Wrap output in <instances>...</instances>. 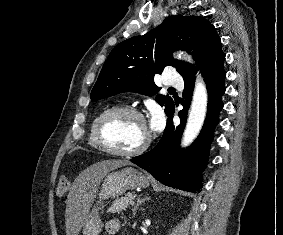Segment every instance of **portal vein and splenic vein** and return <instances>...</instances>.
<instances>
[{"label":"portal vein and splenic vein","instance_id":"obj_1","mask_svg":"<svg viewBox=\"0 0 283 235\" xmlns=\"http://www.w3.org/2000/svg\"><path fill=\"white\" fill-rule=\"evenodd\" d=\"M134 197H135V196H134ZM130 204H131V205H133V204H134V202H133V201H131V202H130Z\"/></svg>","mask_w":283,"mask_h":235}]
</instances>
